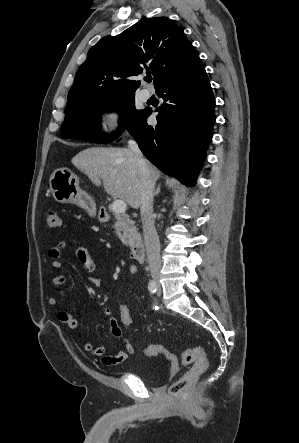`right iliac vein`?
Wrapping results in <instances>:
<instances>
[{
	"instance_id": "63e3f726",
	"label": "right iliac vein",
	"mask_w": 299,
	"mask_h": 443,
	"mask_svg": "<svg viewBox=\"0 0 299 443\" xmlns=\"http://www.w3.org/2000/svg\"><path fill=\"white\" fill-rule=\"evenodd\" d=\"M154 279L157 281V280H158V277H154Z\"/></svg>"
}]
</instances>
